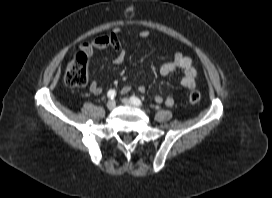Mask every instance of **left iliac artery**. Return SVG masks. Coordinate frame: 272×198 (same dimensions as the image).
Masks as SVG:
<instances>
[{
  "mask_svg": "<svg viewBox=\"0 0 272 198\" xmlns=\"http://www.w3.org/2000/svg\"><path fill=\"white\" fill-rule=\"evenodd\" d=\"M131 102L136 105V106H141L142 105V102L139 98L135 97V96H132L131 98Z\"/></svg>",
  "mask_w": 272,
  "mask_h": 198,
  "instance_id": "1",
  "label": "left iliac artery"
}]
</instances>
